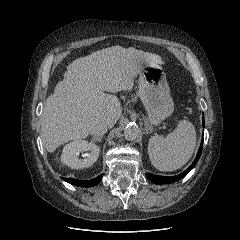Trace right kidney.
Wrapping results in <instances>:
<instances>
[{"label": "right kidney", "mask_w": 240, "mask_h": 240, "mask_svg": "<svg viewBox=\"0 0 240 240\" xmlns=\"http://www.w3.org/2000/svg\"><path fill=\"white\" fill-rule=\"evenodd\" d=\"M89 151L84 159L79 158L81 152ZM100 148L85 140H75L63 148L61 162L72 169H83L95 163L99 157Z\"/></svg>", "instance_id": "ca27d5eb"}]
</instances>
